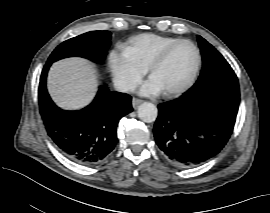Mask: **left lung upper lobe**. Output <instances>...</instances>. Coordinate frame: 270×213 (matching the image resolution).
Returning <instances> with one entry per match:
<instances>
[{"instance_id": "obj_1", "label": "left lung upper lobe", "mask_w": 270, "mask_h": 213, "mask_svg": "<svg viewBox=\"0 0 270 213\" xmlns=\"http://www.w3.org/2000/svg\"><path fill=\"white\" fill-rule=\"evenodd\" d=\"M198 44L202 54L203 67L197 82L187 93H193L216 80L234 73L224 57L201 36H198Z\"/></svg>"}]
</instances>
